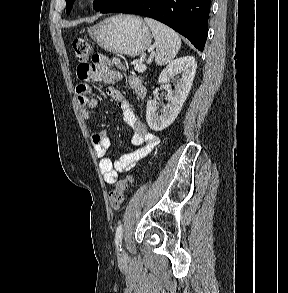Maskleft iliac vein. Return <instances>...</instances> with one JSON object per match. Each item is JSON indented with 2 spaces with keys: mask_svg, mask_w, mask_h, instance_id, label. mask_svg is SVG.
I'll list each match as a JSON object with an SVG mask.
<instances>
[{
  "mask_svg": "<svg viewBox=\"0 0 288 293\" xmlns=\"http://www.w3.org/2000/svg\"><path fill=\"white\" fill-rule=\"evenodd\" d=\"M123 254H124V251H122L121 249L119 255L122 256Z\"/></svg>",
  "mask_w": 288,
  "mask_h": 293,
  "instance_id": "obj_1",
  "label": "left iliac vein"
}]
</instances>
